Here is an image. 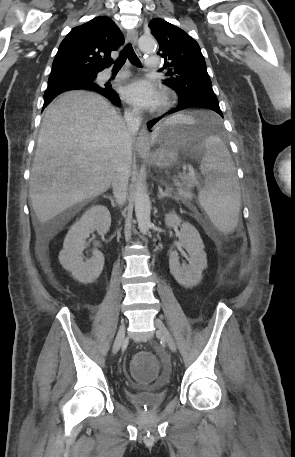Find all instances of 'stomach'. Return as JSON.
<instances>
[{"label":"stomach","mask_w":295,"mask_h":457,"mask_svg":"<svg viewBox=\"0 0 295 457\" xmlns=\"http://www.w3.org/2000/svg\"><path fill=\"white\" fill-rule=\"evenodd\" d=\"M208 133V125L198 119L161 125L154 130L151 138L152 143L158 144V149L146 158L150 164L161 168L172 166L178 162L179 151L186 146L205 152L203 143Z\"/></svg>","instance_id":"stomach-1"}]
</instances>
